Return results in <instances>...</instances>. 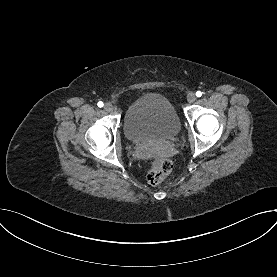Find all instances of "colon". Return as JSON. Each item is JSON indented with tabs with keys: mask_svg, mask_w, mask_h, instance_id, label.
<instances>
[{
	"mask_svg": "<svg viewBox=\"0 0 277 277\" xmlns=\"http://www.w3.org/2000/svg\"><path fill=\"white\" fill-rule=\"evenodd\" d=\"M173 164L167 158H156L152 162V167L147 174V181L151 185L160 184L172 171Z\"/></svg>",
	"mask_w": 277,
	"mask_h": 277,
	"instance_id": "5ec220e1",
	"label": "colon"
}]
</instances>
